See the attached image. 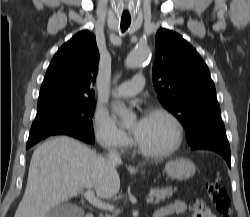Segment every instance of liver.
<instances>
[{
    "label": "liver",
    "instance_id": "obj_1",
    "mask_svg": "<svg viewBox=\"0 0 250 217\" xmlns=\"http://www.w3.org/2000/svg\"><path fill=\"white\" fill-rule=\"evenodd\" d=\"M95 189L101 199L116 196V165L81 142L58 137L39 145L31 158L27 186L14 217H49L51 209Z\"/></svg>",
    "mask_w": 250,
    "mask_h": 217
}]
</instances>
